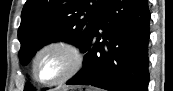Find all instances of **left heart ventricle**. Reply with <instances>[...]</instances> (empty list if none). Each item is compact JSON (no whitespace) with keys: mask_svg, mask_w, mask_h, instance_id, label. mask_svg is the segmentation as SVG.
<instances>
[{"mask_svg":"<svg viewBox=\"0 0 173 91\" xmlns=\"http://www.w3.org/2000/svg\"><path fill=\"white\" fill-rule=\"evenodd\" d=\"M67 67L66 55L61 51L51 50L41 56L37 72L42 80H48L65 72Z\"/></svg>","mask_w":173,"mask_h":91,"instance_id":"1","label":"left heart ventricle"}]
</instances>
